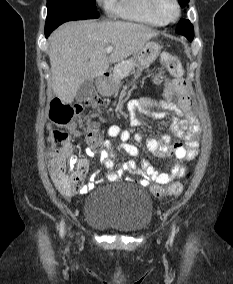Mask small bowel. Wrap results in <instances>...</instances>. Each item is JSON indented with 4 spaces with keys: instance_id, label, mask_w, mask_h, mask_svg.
I'll return each instance as SVG.
<instances>
[{
    "instance_id": "1",
    "label": "small bowel",
    "mask_w": 233,
    "mask_h": 284,
    "mask_svg": "<svg viewBox=\"0 0 233 284\" xmlns=\"http://www.w3.org/2000/svg\"><path fill=\"white\" fill-rule=\"evenodd\" d=\"M130 122L132 125H138L137 115L141 114L156 119L169 117L172 122V131L175 136L184 140L183 143H172L171 137L167 134L160 139L149 137L146 140L148 148L160 157L174 155L177 162L173 165L169 173L157 171L147 160L142 159L140 164L135 160L117 161L115 154L112 151V143L109 138H119L121 141L119 150L124 151L132 157H137L138 148L128 143L131 138V133L128 130L122 129L118 125H111L107 129L109 138L103 141V149L100 152V159L108 170L107 178L111 182L119 181L124 172H131L139 175L141 178L139 183L143 186H149L152 182L158 185H166L175 178H180L184 175L185 164L193 160L199 152L200 147V124L197 119L194 102L191 97L190 89L185 80L175 78L164 82V97L161 100L140 99L133 100L128 105ZM73 135L78 137L80 132L73 131ZM136 142H142L143 138L140 134H135ZM88 156L95 154L92 147L86 149ZM70 164L82 165L85 170H88L89 162L87 159H78L72 156L69 160ZM48 170L53 183V172L48 162ZM99 182L96 178H91L90 181L81 187L80 193L85 194L92 190L96 183Z\"/></svg>"
}]
</instances>
